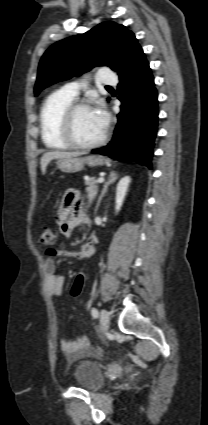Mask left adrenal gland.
<instances>
[{
    "mask_svg": "<svg viewBox=\"0 0 208 425\" xmlns=\"http://www.w3.org/2000/svg\"><path fill=\"white\" fill-rule=\"evenodd\" d=\"M118 177L119 176H118V174H117L116 171H111L110 172L109 177H108V180L105 182V184L103 186V189H102V192H101V195H100V197H99V199L97 201V204H96V207H95V210H94V213L95 214L98 211V208L100 206V203H101L102 198L104 197V195L107 192L108 186L111 185V184H113L118 179Z\"/></svg>",
    "mask_w": 208,
    "mask_h": 425,
    "instance_id": "a2214340",
    "label": "left adrenal gland"
}]
</instances>
